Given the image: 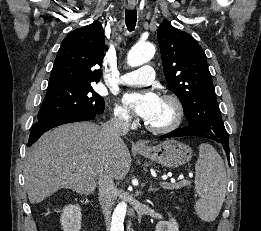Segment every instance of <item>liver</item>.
<instances>
[{"label":"liver","mask_w":261,"mask_h":231,"mask_svg":"<svg viewBox=\"0 0 261 231\" xmlns=\"http://www.w3.org/2000/svg\"><path fill=\"white\" fill-rule=\"evenodd\" d=\"M103 161L116 180L123 179L131 165L125 143L107 147L97 124L71 123L46 132L29 150L25 162L30 203H39L62 188L92 194Z\"/></svg>","instance_id":"obj_1"}]
</instances>
